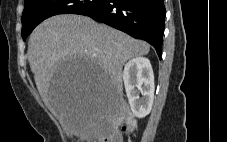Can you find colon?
<instances>
[{
	"label": "colon",
	"instance_id": "obj_1",
	"mask_svg": "<svg viewBox=\"0 0 227 142\" xmlns=\"http://www.w3.org/2000/svg\"><path fill=\"white\" fill-rule=\"evenodd\" d=\"M135 127L134 118L120 111L109 123L104 125L98 142H122V135L132 132Z\"/></svg>",
	"mask_w": 227,
	"mask_h": 142
}]
</instances>
